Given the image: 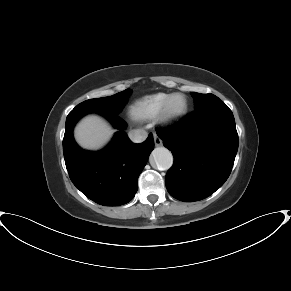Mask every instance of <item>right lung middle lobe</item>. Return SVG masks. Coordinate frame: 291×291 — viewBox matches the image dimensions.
<instances>
[{
	"label": "right lung middle lobe",
	"instance_id": "obj_1",
	"mask_svg": "<svg viewBox=\"0 0 291 291\" xmlns=\"http://www.w3.org/2000/svg\"><path fill=\"white\" fill-rule=\"evenodd\" d=\"M130 94L131 89H126L109 97L86 100L78 104L74 109H86L118 114L125 106Z\"/></svg>",
	"mask_w": 291,
	"mask_h": 291
}]
</instances>
